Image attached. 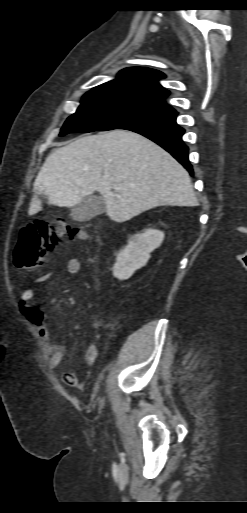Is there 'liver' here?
Segmentation results:
<instances>
[{"instance_id": "1", "label": "liver", "mask_w": 247, "mask_h": 513, "mask_svg": "<svg viewBox=\"0 0 247 513\" xmlns=\"http://www.w3.org/2000/svg\"><path fill=\"white\" fill-rule=\"evenodd\" d=\"M121 187L114 196L112 189ZM95 191L122 223L158 206H197L188 172L163 148L127 130L88 135L53 151L34 182L29 215L48 204L73 207Z\"/></svg>"}]
</instances>
